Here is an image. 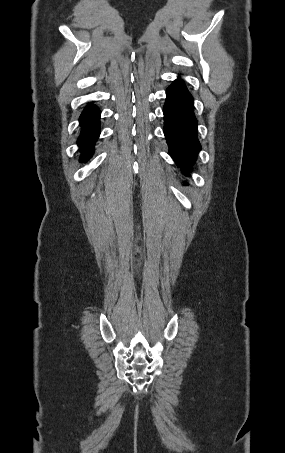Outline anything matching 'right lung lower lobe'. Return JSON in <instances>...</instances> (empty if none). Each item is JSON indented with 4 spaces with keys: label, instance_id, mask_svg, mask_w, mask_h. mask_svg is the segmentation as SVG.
Wrapping results in <instances>:
<instances>
[{
    "label": "right lung lower lobe",
    "instance_id": "98d812e1",
    "mask_svg": "<svg viewBox=\"0 0 285 453\" xmlns=\"http://www.w3.org/2000/svg\"><path fill=\"white\" fill-rule=\"evenodd\" d=\"M100 110L95 105H88L79 118L81 133L77 140L82 152L80 161L86 162L93 154V145L100 135Z\"/></svg>",
    "mask_w": 285,
    "mask_h": 453
}]
</instances>
